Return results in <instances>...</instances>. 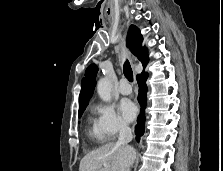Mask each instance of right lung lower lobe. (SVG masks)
<instances>
[{
  "instance_id": "obj_1",
  "label": "right lung lower lobe",
  "mask_w": 223,
  "mask_h": 171,
  "mask_svg": "<svg viewBox=\"0 0 223 171\" xmlns=\"http://www.w3.org/2000/svg\"><path fill=\"white\" fill-rule=\"evenodd\" d=\"M137 81L139 84V95L138 100L139 103L142 105L141 114L138 117V124L135 128L136 133V140L139 142L140 137L144 134V121H145V115H144V108L146 106V93H147V86H146V80H147V73L144 71L142 74L137 75Z\"/></svg>"
}]
</instances>
